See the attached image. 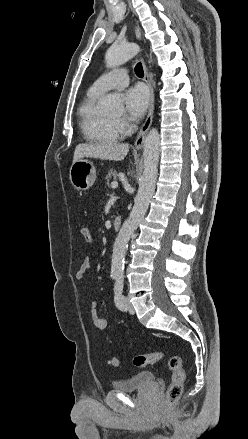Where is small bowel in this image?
Returning a JSON list of instances; mask_svg holds the SVG:
<instances>
[{
  "instance_id": "obj_1",
  "label": "small bowel",
  "mask_w": 248,
  "mask_h": 439,
  "mask_svg": "<svg viewBox=\"0 0 248 439\" xmlns=\"http://www.w3.org/2000/svg\"><path fill=\"white\" fill-rule=\"evenodd\" d=\"M91 268V260L89 258H85L81 263L78 271L76 272L75 278L78 281H82L86 275V273ZM91 317L93 324L98 329H105L108 325V320L104 317H101L97 311V302L93 301L91 303Z\"/></svg>"
}]
</instances>
